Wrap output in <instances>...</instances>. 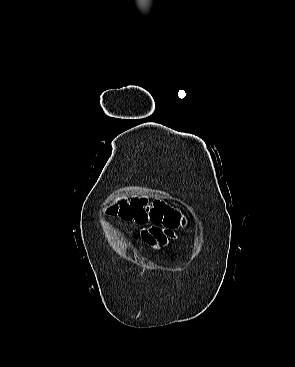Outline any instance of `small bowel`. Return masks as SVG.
Masks as SVG:
<instances>
[{"label":"small bowel","mask_w":295,"mask_h":367,"mask_svg":"<svg viewBox=\"0 0 295 367\" xmlns=\"http://www.w3.org/2000/svg\"><path fill=\"white\" fill-rule=\"evenodd\" d=\"M145 222H139V224H144ZM151 222L152 225L150 227L141 230V239L154 248L165 246L174 237L173 229L178 226V223H172L166 219Z\"/></svg>","instance_id":"1"}]
</instances>
